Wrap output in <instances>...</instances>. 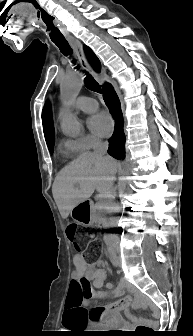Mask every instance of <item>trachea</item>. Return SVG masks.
<instances>
[{
  "label": "trachea",
  "instance_id": "trachea-1",
  "mask_svg": "<svg viewBox=\"0 0 193 336\" xmlns=\"http://www.w3.org/2000/svg\"><path fill=\"white\" fill-rule=\"evenodd\" d=\"M51 28H53L52 25ZM54 44L59 48L61 53H63L64 55L67 56L72 54V49L66 40L54 41ZM85 86L91 91L101 92L98 82H96V80L88 73H86L85 77Z\"/></svg>",
  "mask_w": 193,
  "mask_h": 336
}]
</instances>
